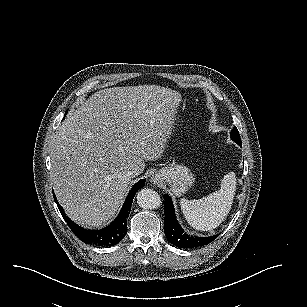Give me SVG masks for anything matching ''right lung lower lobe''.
Masks as SVG:
<instances>
[{"label":"right lung lower lobe","mask_w":307,"mask_h":307,"mask_svg":"<svg viewBox=\"0 0 307 307\" xmlns=\"http://www.w3.org/2000/svg\"><path fill=\"white\" fill-rule=\"evenodd\" d=\"M144 185L145 179H142L132 187L117 218L109 226L101 230H87L78 226L66 216L63 208L57 202L55 195L54 199L57 203L61 215L73 233L79 239H81L85 244L110 247L116 245L124 238L127 232L126 219L130 214L134 195L137 190L144 187Z\"/></svg>","instance_id":"obj_1"}]
</instances>
